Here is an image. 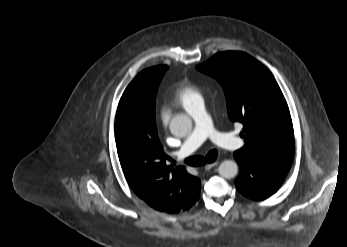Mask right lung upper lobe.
Here are the masks:
<instances>
[{"label":"right lung upper lobe","instance_id":"1","mask_svg":"<svg viewBox=\"0 0 347 247\" xmlns=\"http://www.w3.org/2000/svg\"><path fill=\"white\" fill-rule=\"evenodd\" d=\"M115 140L118 157L131 189L154 209L170 214L184 210L198 199L201 182L185 167L166 165L158 138L155 107L147 82L136 76L125 89L116 113Z\"/></svg>","mask_w":347,"mask_h":247}]
</instances>
